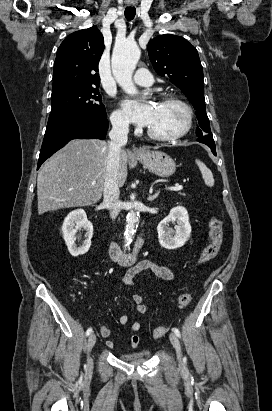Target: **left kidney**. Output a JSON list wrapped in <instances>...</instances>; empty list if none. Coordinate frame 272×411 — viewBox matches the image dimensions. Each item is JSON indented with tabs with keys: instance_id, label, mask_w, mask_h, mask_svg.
<instances>
[{
	"instance_id": "left-kidney-1",
	"label": "left kidney",
	"mask_w": 272,
	"mask_h": 411,
	"mask_svg": "<svg viewBox=\"0 0 272 411\" xmlns=\"http://www.w3.org/2000/svg\"><path fill=\"white\" fill-rule=\"evenodd\" d=\"M174 222H176L175 227H170ZM157 232L162 247L166 249L182 247L191 234L187 210L182 206L172 208L169 215L158 224Z\"/></svg>"
}]
</instances>
